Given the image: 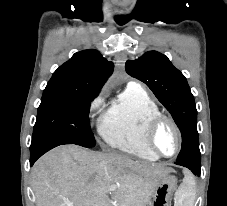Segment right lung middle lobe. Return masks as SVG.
Here are the masks:
<instances>
[{"label":"right lung middle lobe","mask_w":227,"mask_h":206,"mask_svg":"<svg viewBox=\"0 0 227 206\" xmlns=\"http://www.w3.org/2000/svg\"><path fill=\"white\" fill-rule=\"evenodd\" d=\"M97 95L45 88L38 108L32 143L60 138L68 144L94 147V135L87 120L90 101Z\"/></svg>","instance_id":"dd1d6c3e"}]
</instances>
